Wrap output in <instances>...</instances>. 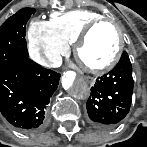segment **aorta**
Wrapping results in <instances>:
<instances>
[{
	"label": "aorta",
	"mask_w": 147,
	"mask_h": 147,
	"mask_svg": "<svg viewBox=\"0 0 147 147\" xmlns=\"http://www.w3.org/2000/svg\"><path fill=\"white\" fill-rule=\"evenodd\" d=\"M89 92V85L85 82L79 83L72 88V94L76 99H86Z\"/></svg>",
	"instance_id": "762f6f07"
}]
</instances>
